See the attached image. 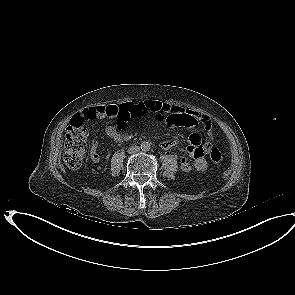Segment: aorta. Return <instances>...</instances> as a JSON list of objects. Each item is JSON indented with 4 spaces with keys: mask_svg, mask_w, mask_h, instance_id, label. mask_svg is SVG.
Listing matches in <instances>:
<instances>
[{
    "mask_svg": "<svg viewBox=\"0 0 295 295\" xmlns=\"http://www.w3.org/2000/svg\"><path fill=\"white\" fill-rule=\"evenodd\" d=\"M151 144L147 141L141 143V150L142 151H149Z\"/></svg>",
    "mask_w": 295,
    "mask_h": 295,
    "instance_id": "762f6f07",
    "label": "aorta"
}]
</instances>
